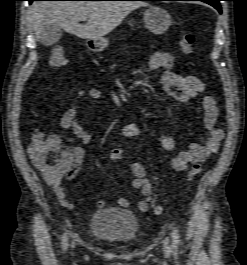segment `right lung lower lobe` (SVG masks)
<instances>
[{
	"instance_id": "obj_1",
	"label": "right lung lower lobe",
	"mask_w": 247,
	"mask_h": 265,
	"mask_svg": "<svg viewBox=\"0 0 247 265\" xmlns=\"http://www.w3.org/2000/svg\"><path fill=\"white\" fill-rule=\"evenodd\" d=\"M29 3H32L33 1H36V0H28ZM91 1H94V0H91ZM144 1V0H143Z\"/></svg>"
}]
</instances>
